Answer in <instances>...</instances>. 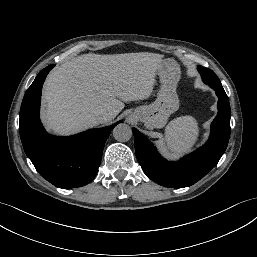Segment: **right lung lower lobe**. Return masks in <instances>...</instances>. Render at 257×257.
Segmentation results:
<instances>
[{
    "label": "right lung lower lobe",
    "mask_w": 257,
    "mask_h": 257,
    "mask_svg": "<svg viewBox=\"0 0 257 257\" xmlns=\"http://www.w3.org/2000/svg\"><path fill=\"white\" fill-rule=\"evenodd\" d=\"M53 67L50 65L39 72L24 95L20 137L26 155L43 178L59 188L81 187L95 178L105 141L121 121L70 137L49 135L40 122L39 108L43 82Z\"/></svg>",
    "instance_id": "obj_1"
}]
</instances>
